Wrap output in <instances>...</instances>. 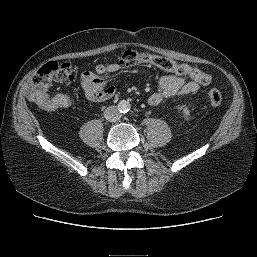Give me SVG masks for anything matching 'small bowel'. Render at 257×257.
I'll list each match as a JSON object with an SVG mask.
<instances>
[{"label": "small bowel", "instance_id": "small-bowel-1", "mask_svg": "<svg viewBox=\"0 0 257 257\" xmlns=\"http://www.w3.org/2000/svg\"><path fill=\"white\" fill-rule=\"evenodd\" d=\"M120 65L98 64L94 71H86L81 76V85L85 96L91 101H104L112 98L115 94V88L108 85L104 79L106 73L115 74L120 71ZM201 86L198 81L177 74H168L160 78L158 89L153 92L148 103L151 106H158L164 100L180 95H186L197 92Z\"/></svg>", "mask_w": 257, "mask_h": 257}]
</instances>
